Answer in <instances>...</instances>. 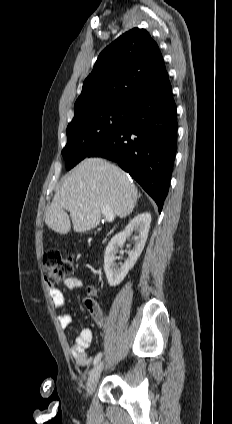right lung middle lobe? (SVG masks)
<instances>
[{"mask_svg":"<svg viewBox=\"0 0 232 424\" xmlns=\"http://www.w3.org/2000/svg\"><path fill=\"white\" fill-rule=\"evenodd\" d=\"M130 109L131 106L121 104L99 105L74 115L67 127V145L62 150L67 170L125 125Z\"/></svg>","mask_w":232,"mask_h":424,"instance_id":"dd1d6c3e","label":"right lung middle lobe"}]
</instances>
